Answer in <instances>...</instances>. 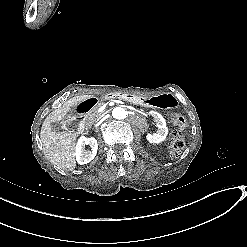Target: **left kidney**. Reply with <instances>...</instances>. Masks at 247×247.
<instances>
[{"label": "left kidney", "instance_id": "left-kidney-1", "mask_svg": "<svg viewBox=\"0 0 247 247\" xmlns=\"http://www.w3.org/2000/svg\"><path fill=\"white\" fill-rule=\"evenodd\" d=\"M150 115L154 116V118L156 119L158 130L153 134H148L146 138L150 143H160L165 140L168 134L166 121L162 117V115L157 112L151 111Z\"/></svg>", "mask_w": 247, "mask_h": 247}]
</instances>
